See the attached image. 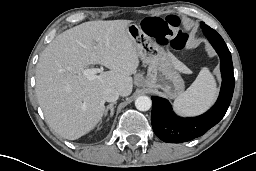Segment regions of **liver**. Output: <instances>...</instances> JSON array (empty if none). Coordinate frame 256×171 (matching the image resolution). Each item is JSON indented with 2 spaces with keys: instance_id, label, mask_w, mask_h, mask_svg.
Masks as SVG:
<instances>
[{
  "instance_id": "1",
  "label": "liver",
  "mask_w": 256,
  "mask_h": 171,
  "mask_svg": "<svg viewBox=\"0 0 256 171\" xmlns=\"http://www.w3.org/2000/svg\"><path fill=\"white\" fill-rule=\"evenodd\" d=\"M130 20L90 21L59 34L41 53L36 66V95L54 132L76 140L101 121L103 92L114 88L123 97L133 89L131 75L139 55L127 32ZM101 64L110 69L89 80L82 70ZM176 67L185 66L176 61Z\"/></svg>"
}]
</instances>
